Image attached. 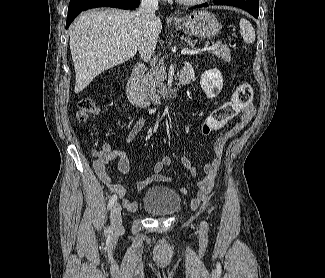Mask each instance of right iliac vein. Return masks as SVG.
Instances as JSON below:
<instances>
[{
    "label": "right iliac vein",
    "instance_id": "63e3f726",
    "mask_svg": "<svg viewBox=\"0 0 325 278\" xmlns=\"http://www.w3.org/2000/svg\"><path fill=\"white\" fill-rule=\"evenodd\" d=\"M110 218L113 233L115 235L119 234L123 229L121 218V206L119 203H115L113 205L110 213Z\"/></svg>",
    "mask_w": 325,
    "mask_h": 278
}]
</instances>
